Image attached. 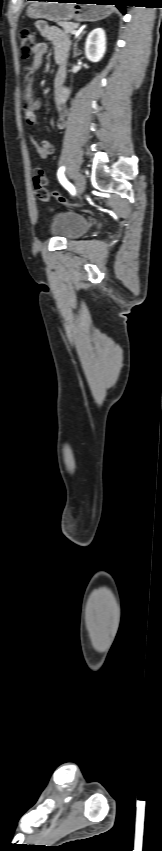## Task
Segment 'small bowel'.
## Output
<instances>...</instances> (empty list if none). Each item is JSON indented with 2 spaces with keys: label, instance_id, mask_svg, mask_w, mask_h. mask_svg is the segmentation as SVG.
<instances>
[{
  "label": "small bowel",
  "instance_id": "1",
  "mask_svg": "<svg viewBox=\"0 0 162 851\" xmlns=\"http://www.w3.org/2000/svg\"><path fill=\"white\" fill-rule=\"evenodd\" d=\"M36 27L41 35L53 45V56L58 65L53 88V99L57 111L55 124L58 129H64L68 115V100L70 89L64 85L66 76V65L70 52V40L65 33L55 26L49 25L45 21H37ZM48 51V46L45 42L37 43L34 51L32 63L26 68L23 89L24 101V119L28 126L36 125V112L40 109L41 103L34 95L33 80L42 65L43 57ZM30 143L36 149L41 159H47L54 153V146L49 140H39L34 136H29Z\"/></svg>",
  "mask_w": 162,
  "mask_h": 851
}]
</instances>
